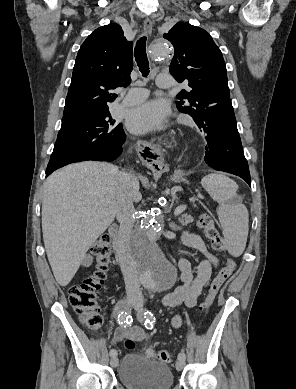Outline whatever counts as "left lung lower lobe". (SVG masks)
I'll return each instance as SVG.
<instances>
[{
    "label": "left lung lower lobe",
    "mask_w": 296,
    "mask_h": 389,
    "mask_svg": "<svg viewBox=\"0 0 296 389\" xmlns=\"http://www.w3.org/2000/svg\"><path fill=\"white\" fill-rule=\"evenodd\" d=\"M204 119L200 129L205 136V162L215 170L241 177L251 186L231 100L209 108Z\"/></svg>",
    "instance_id": "left-lung-lower-lobe-1"
}]
</instances>
